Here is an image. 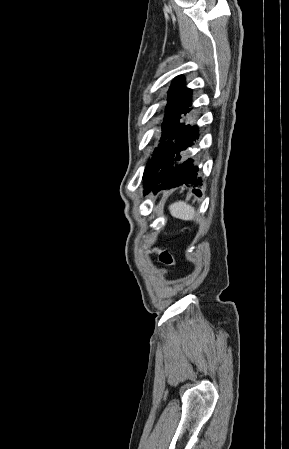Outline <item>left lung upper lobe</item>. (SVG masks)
Here are the masks:
<instances>
[{
    "label": "left lung upper lobe",
    "instance_id": "5c2ea615",
    "mask_svg": "<svg viewBox=\"0 0 289 449\" xmlns=\"http://www.w3.org/2000/svg\"><path fill=\"white\" fill-rule=\"evenodd\" d=\"M191 90L184 85V78L177 76L168 91V103L164 121L162 123L161 141L164 143L154 152L151 160L147 163L143 178L148 180L157 175L164 160L165 147L173 137L185 126L182 123V115L190 111Z\"/></svg>",
    "mask_w": 289,
    "mask_h": 449
}]
</instances>
